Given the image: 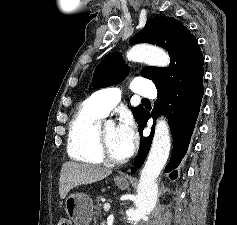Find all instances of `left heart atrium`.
<instances>
[{
  "label": "left heart atrium",
  "mask_w": 237,
  "mask_h": 225,
  "mask_svg": "<svg viewBox=\"0 0 237 225\" xmlns=\"http://www.w3.org/2000/svg\"><path fill=\"white\" fill-rule=\"evenodd\" d=\"M138 140L135 122L130 115H124L117 126V144L123 158L131 156Z\"/></svg>",
  "instance_id": "obj_1"
}]
</instances>
